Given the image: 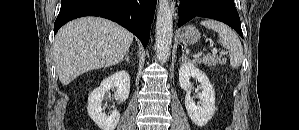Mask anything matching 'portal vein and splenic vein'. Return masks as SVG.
<instances>
[{"mask_svg":"<svg viewBox=\"0 0 299 130\" xmlns=\"http://www.w3.org/2000/svg\"><path fill=\"white\" fill-rule=\"evenodd\" d=\"M212 53L213 54H216L217 53V50L215 48H212Z\"/></svg>","mask_w":299,"mask_h":130,"instance_id":"portal-vein-and-splenic-vein-1","label":"portal vein and splenic vein"}]
</instances>
